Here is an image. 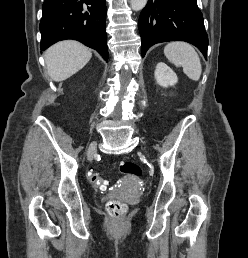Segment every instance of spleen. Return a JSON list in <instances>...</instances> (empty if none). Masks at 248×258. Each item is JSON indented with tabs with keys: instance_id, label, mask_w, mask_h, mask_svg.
<instances>
[{
	"instance_id": "obj_1",
	"label": "spleen",
	"mask_w": 248,
	"mask_h": 258,
	"mask_svg": "<svg viewBox=\"0 0 248 258\" xmlns=\"http://www.w3.org/2000/svg\"><path fill=\"white\" fill-rule=\"evenodd\" d=\"M166 58L193 81H198L202 73L200 58L192 45L186 42L175 41L168 43L164 48Z\"/></svg>"
}]
</instances>
